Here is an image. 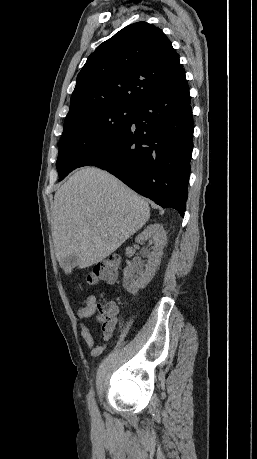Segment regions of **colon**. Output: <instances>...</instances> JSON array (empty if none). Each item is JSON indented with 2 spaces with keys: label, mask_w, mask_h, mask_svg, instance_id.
<instances>
[{
  "label": "colon",
  "mask_w": 257,
  "mask_h": 459,
  "mask_svg": "<svg viewBox=\"0 0 257 459\" xmlns=\"http://www.w3.org/2000/svg\"><path fill=\"white\" fill-rule=\"evenodd\" d=\"M118 263V259L115 257H110L97 263L88 273L86 278L87 283L95 284L100 281H114L117 275ZM93 309L98 310L100 314L104 316H106L110 311L108 304L104 305L101 303L94 305Z\"/></svg>",
  "instance_id": "1"
}]
</instances>
